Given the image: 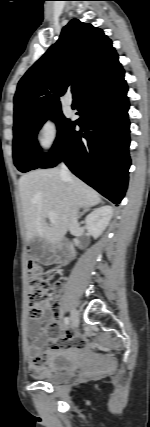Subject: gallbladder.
<instances>
[{"mask_svg":"<svg viewBox=\"0 0 150 427\" xmlns=\"http://www.w3.org/2000/svg\"><path fill=\"white\" fill-rule=\"evenodd\" d=\"M30 253L33 258L40 261L43 264H50L52 261V256L49 253V244L40 239L34 238L29 243Z\"/></svg>","mask_w":150,"mask_h":427,"instance_id":"bac80fb5","label":"gallbladder"}]
</instances>
